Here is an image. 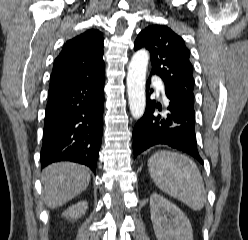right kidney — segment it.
<instances>
[{"instance_id": "ca27d5eb", "label": "right kidney", "mask_w": 248, "mask_h": 240, "mask_svg": "<svg viewBox=\"0 0 248 240\" xmlns=\"http://www.w3.org/2000/svg\"><path fill=\"white\" fill-rule=\"evenodd\" d=\"M87 208H88L87 201H80L77 204L70 206L67 210L63 212L62 215L67 219L70 218L72 220L74 219L76 220L85 214Z\"/></svg>"}]
</instances>
